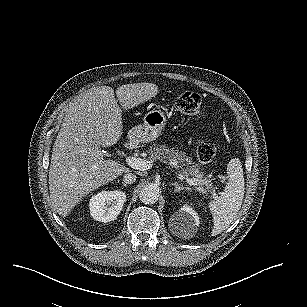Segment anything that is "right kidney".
<instances>
[{"label": "right kidney", "instance_id": "1", "mask_svg": "<svg viewBox=\"0 0 307 307\" xmlns=\"http://www.w3.org/2000/svg\"><path fill=\"white\" fill-rule=\"evenodd\" d=\"M126 202V194L120 190L101 191L89 201L90 215L96 221L110 222L117 218Z\"/></svg>", "mask_w": 307, "mask_h": 307}]
</instances>
